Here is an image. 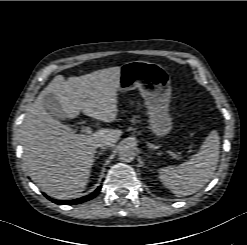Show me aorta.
Listing matches in <instances>:
<instances>
[{"mask_svg": "<svg viewBox=\"0 0 247 245\" xmlns=\"http://www.w3.org/2000/svg\"><path fill=\"white\" fill-rule=\"evenodd\" d=\"M135 149L133 146L125 144L119 149L118 157L124 162H132L135 159Z\"/></svg>", "mask_w": 247, "mask_h": 245, "instance_id": "762f6f07", "label": "aorta"}]
</instances>
